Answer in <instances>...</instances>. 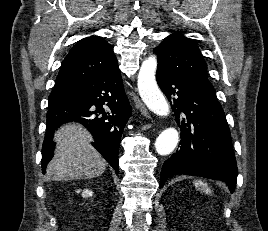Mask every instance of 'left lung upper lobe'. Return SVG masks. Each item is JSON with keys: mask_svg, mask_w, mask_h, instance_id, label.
Returning a JSON list of instances; mask_svg holds the SVG:
<instances>
[{"mask_svg": "<svg viewBox=\"0 0 268 231\" xmlns=\"http://www.w3.org/2000/svg\"><path fill=\"white\" fill-rule=\"evenodd\" d=\"M154 50L158 57V67L183 76L216 96L215 90L208 80L204 58L198 46L191 39L173 33L163 39Z\"/></svg>", "mask_w": 268, "mask_h": 231, "instance_id": "1", "label": "left lung upper lobe"}]
</instances>
